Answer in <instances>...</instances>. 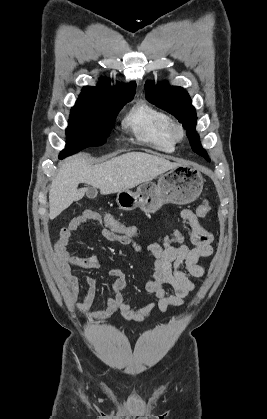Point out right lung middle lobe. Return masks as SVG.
<instances>
[{
    "label": "right lung middle lobe",
    "instance_id": "obj_1",
    "mask_svg": "<svg viewBox=\"0 0 267 419\" xmlns=\"http://www.w3.org/2000/svg\"><path fill=\"white\" fill-rule=\"evenodd\" d=\"M134 95L76 103L71 109L66 130V148L59 158L79 152L86 147L100 146L111 133L118 112Z\"/></svg>",
    "mask_w": 267,
    "mask_h": 419
}]
</instances>
